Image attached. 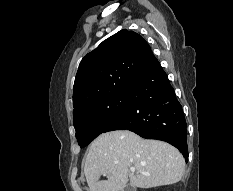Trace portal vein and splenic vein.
I'll use <instances>...</instances> for the list:
<instances>
[{
  "label": "portal vein and splenic vein",
  "mask_w": 233,
  "mask_h": 191,
  "mask_svg": "<svg viewBox=\"0 0 233 191\" xmlns=\"http://www.w3.org/2000/svg\"><path fill=\"white\" fill-rule=\"evenodd\" d=\"M130 170H131V172H135L134 167H131ZM140 173L143 174V175H149V173H146V172H140Z\"/></svg>",
  "instance_id": "obj_1"
}]
</instances>
